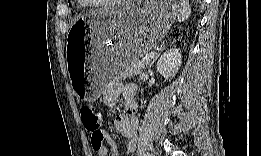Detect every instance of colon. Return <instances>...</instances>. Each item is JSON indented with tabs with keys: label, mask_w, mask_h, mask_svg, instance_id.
<instances>
[{
	"label": "colon",
	"mask_w": 261,
	"mask_h": 156,
	"mask_svg": "<svg viewBox=\"0 0 261 156\" xmlns=\"http://www.w3.org/2000/svg\"><path fill=\"white\" fill-rule=\"evenodd\" d=\"M80 115L83 127L91 137L93 148H97L103 140L101 132L103 114L101 110L93 105L85 104L80 107Z\"/></svg>",
	"instance_id": "colon-1"
}]
</instances>
